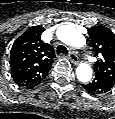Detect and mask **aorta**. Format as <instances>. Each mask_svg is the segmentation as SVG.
<instances>
[{
    "instance_id": "1",
    "label": "aorta",
    "mask_w": 115,
    "mask_h": 119,
    "mask_svg": "<svg viewBox=\"0 0 115 119\" xmlns=\"http://www.w3.org/2000/svg\"><path fill=\"white\" fill-rule=\"evenodd\" d=\"M57 37L63 43L82 48L86 44L85 37L72 25H62L57 29ZM76 75L79 81L85 83L92 77V68L86 63H81L76 69Z\"/></svg>"
}]
</instances>
